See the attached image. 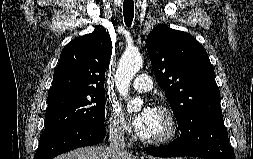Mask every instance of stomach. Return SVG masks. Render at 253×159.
Segmentation results:
<instances>
[{"instance_id": "stomach-1", "label": "stomach", "mask_w": 253, "mask_h": 159, "mask_svg": "<svg viewBox=\"0 0 253 159\" xmlns=\"http://www.w3.org/2000/svg\"><path fill=\"white\" fill-rule=\"evenodd\" d=\"M148 159H160V158H148ZM174 159H183V158H174Z\"/></svg>"}]
</instances>
